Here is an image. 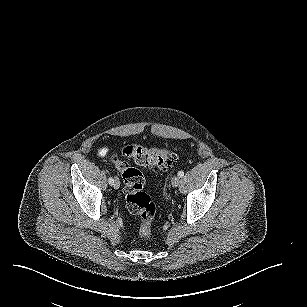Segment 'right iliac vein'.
Returning a JSON list of instances; mask_svg holds the SVG:
<instances>
[{"label": "right iliac vein", "mask_w": 307, "mask_h": 307, "mask_svg": "<svg viewBox=\"0 0 307 307\" xmlns=\"http://www.w3.org/2000/svg\"><path fill=\"white\" fill-rule=\"evenodd\" d=\"M113 187L115 189H118L120 187V181H119V179L117 177H115V181L113 183Z\"/></svg>", "instance_id": "1"}]
</instances>
